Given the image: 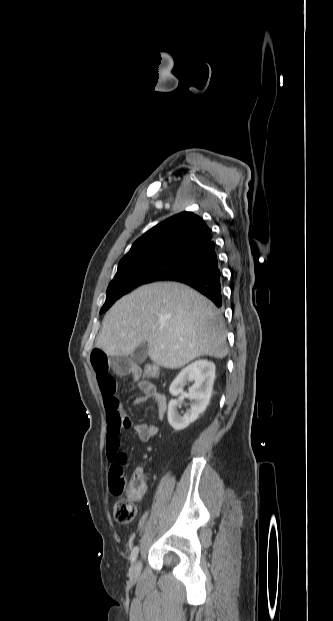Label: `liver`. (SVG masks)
<instances>
[{
    "mask_svg": "<svg viewBox=\"0 0 333 621\" xmlns=\"http://www.w3.org/2000/svg\"><path fill=\"white\" fill-rule=\"evenodd\" d=\"M226 336L223 318L211 301L186 285L159 282L113 305L96 347L109 356L127 357L147 342L155 364L177 369L199 356L224 358Z\"/></svg>",
    "mask_w": 333,
    "mask_h": 621,
    "instance_id": "6515ba94",
    "label": "liver"
}]
</instances>
